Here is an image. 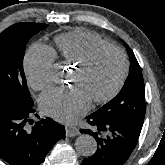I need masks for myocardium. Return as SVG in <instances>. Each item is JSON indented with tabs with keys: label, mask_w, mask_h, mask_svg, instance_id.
<instances>
[{
	"label": "myocardium",
	"mask_w": 165,
	"mask_h": 165,
	"mask_svg": "<svg viewBox=\"0 0 165 165\" xmlns=\"http://www.w3.org/2000/svg\"><path fill=\"white\" fill-rule=\"evenodd\" d=\"M106 50L114 51L120 55L121 61H122V68H121L120 75H119L115 85L113 86V88L104 96L92 99V102L95 104H103V103L110 101L118 94V92L122 88V86L126 80V76H127L128 68H129L127 55L121 48H119L117 46H114L111 44H103V45H99V46H96L93 49H91L85 55V57L76 64L77 69L84 70L92 63V61L95 59V57L98 54H100L101 52L106 51Z\"/></svg>",
	"instance_id": "obj_1"
}]
</instances>
